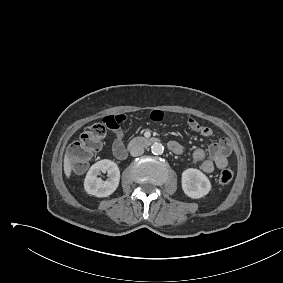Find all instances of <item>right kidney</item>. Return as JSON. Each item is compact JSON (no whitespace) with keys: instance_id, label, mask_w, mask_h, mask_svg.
Returning <instances> with one entry per match:
<instances>
[{"instance_id":"1","label":"right kidney","mask_w":283,"mask_h":283,"mask_svg":"<svg viewBox=\"0 0 283 283\" xmlns=\"http://www.w3.org/2000/svg\"><path fill=\"white\" fill-rule=\"evenodd\" d=\"M101 172H107L108 178L105 181L98 177ZM119 181L120 170L117 164L111 160L104 159L91 166L84 180V188L90 195L107 197L117 189Z\"/></svg>"}]
</instances>
